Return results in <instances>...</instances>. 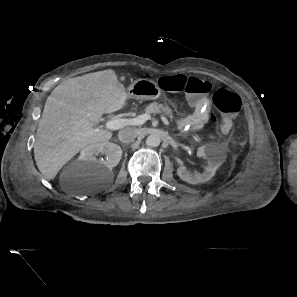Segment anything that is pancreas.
<instances>
[{"instance_id": "1", "label": "pancreas", "mask_w": 297, "mask_h": 297, "mask_svg": "<svg viewBox=\"0 0 297 297\" xmlns=\"http://www.w3.org/2000/svg\"><path fill=\"white\" fill-rule=\"evenodd\" d=\"M145 112L147 114H164L170 119L174 118L173 111L168 105L159 104L157 102H153L149 106H147Z\"/></svg>"}]
</instances>
